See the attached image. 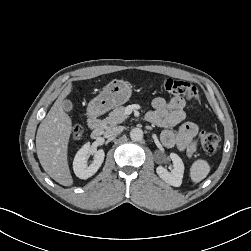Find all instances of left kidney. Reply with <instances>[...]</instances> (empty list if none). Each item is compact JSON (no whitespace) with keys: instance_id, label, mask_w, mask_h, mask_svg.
<instances>
[{"instance_id":"5707ae66","label":"left kidney","mask_w":251,"mask_h":251,"mask_svg":"<svg viewBox=\"0 0 251 251\" xmlns=\"http://www.w3.org/2000/svg\"><path fill=\"white\" fill-rule=\"evenodd\" d=\"M170 158L173 162V169L169 172L162 166L156 168L159 177L169 185L179 187L182 184L184 174V164L182 159L175 153H170Z\"/></svg>"}]
</instances>
